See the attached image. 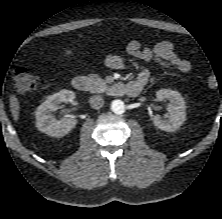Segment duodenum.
<instances>
[{
	"mask_svg": "<svg viewBox=\"0 0 222 219\" xmlns=\"http://www.w3.org/2000/svg\"><path fill=\"white\" fill-rule=\"evenodd\" d=\"M72 86L75 90L86 92L89 88V80L84 75L75 76L72 79ZM143 85L139 82H115L110 86V92L114 95L137 96L140 94Z\"/></svg>",
	"mask_w": 222,
	"mask_h": 219,
	"instance_id": "obj_1",
	"label": "duodenum"
}]
</instances>
